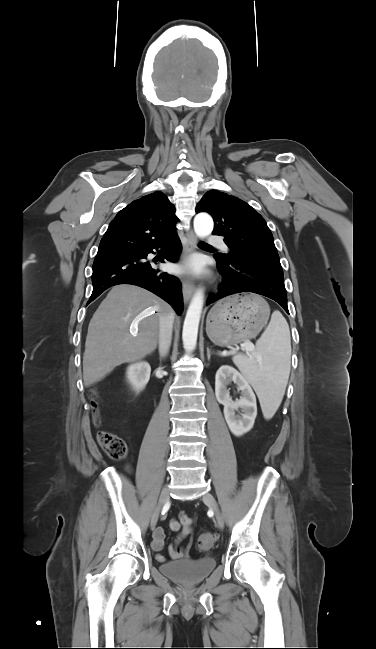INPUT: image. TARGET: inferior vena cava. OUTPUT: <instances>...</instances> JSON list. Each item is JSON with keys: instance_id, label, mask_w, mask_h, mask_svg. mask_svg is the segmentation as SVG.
<instances>
[{"instance_id": "obj_1", "label": "inferior vena cava", "mask_w": 376, "mask_h": 649, "mask_svg": "<svg viewBox=\"0 0 376 649\" xmlns=\"http://www.w3.org/2000/svg\"><path fill=\"white\" fill-rule=\"evenodd\" d=\"M174 323V312L170 311L168 314L163 315L160 318V327H159V354L161 357H164L168 354L171 341H172V330Z\"/></svg>"}]
</instances>
